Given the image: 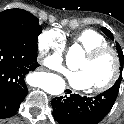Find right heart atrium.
<instances>
[{
    "instance_id": "obj_1",
    "label": "right heart atrium",
    "mask_w": 124,
    "mask_h": 124,
    "mask_svg": "<svg viewBox=\"0 0 124 124\" xmlns=\"http://www.w3.org/2000/svg\"><path fill=\"white\" fill-rule=\"evenodd\" d=\"M39 59L43 65L53 70H60L64 60V42L59 32L45 30L36 41Z\"/></svg>"
}]
</instances>
